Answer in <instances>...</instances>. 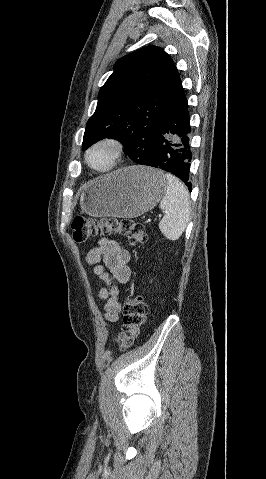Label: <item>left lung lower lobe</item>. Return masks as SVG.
<instances>
[{
    "label": "left lung lower lobe",
    "mask_w": 266,
    "mask_h": 479,
    "mask_svg": "<svg viewBox=\"0 0 266 479\" xmlns=\"http://www.w3.org/2000/svg\"><path fill=\"white\" fill-rule=\"evenodd\" d=\"M187 99L183 87L164 114L152 148L150 161L143 165L160 168L180 178L191 191L189 181L192 153Z\"/></svg>",
    "instance_id": "obj_1"
}]
</instances>
